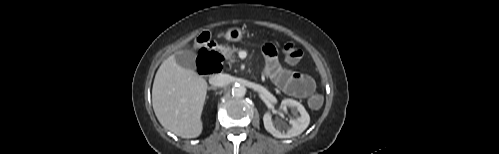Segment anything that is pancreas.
<instances>
[{
	"mask_svg": "<svg viewBox=\"0 0 499 154\" xmlns=\"http://www.w3.org/2000/svg\"><path fill=\"white\" fill-rule=\"evenodd\" d=\"M222 54L224 55L225 59L228 60L229 63L235 62L234 55L235 53H238L240 51L239 48H230V47H222L221 48Z\"/></svg>",
	"mask_w": 499,
	"mask_h": 154,
	"instance_id": "obj_1",
	"label": "pancreas"
}]
</instances>
